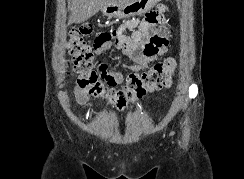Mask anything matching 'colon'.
<instances>
[{"mask_svg": "<svg viewBox=\"0 0 244 179\" xmlns=\"http://www.w3.org/2000/svg\"><path fill=\"white\" fill-rule=\"evenodd\" d=\"M92 29L89 24L73 27L67 40V51L72 57V60L67 62L68 72L77 76L78 86L88 95L107 100L122 111L147 93L171 86L177 65L174 59L168 58L139 74L130 75L126 84L119 89L106 87L103 76L96 71L91 47L84 39L92 33Z\"/></svg>", "mask_w": 244, "mask_h": 179, "instance_id": "colon-1", "label": "colon"}]
</instances>
